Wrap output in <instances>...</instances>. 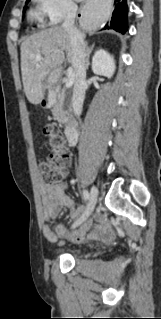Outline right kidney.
Returning <instances> with one entry per match:
<instances>
[{"label":"right kidney","instance_id":"obj_1","mask_svg":"<svg viewBox=\"0 0 161 319\" xmlns=\"http://www.w3.org/2000/svg\"><path fill=\"white\" fill-rule=\"evenodd\" d=\"M92 71L94 74L111 78L115 72V62L105 50L99 49L92 59Z\"/></svg>","mask_w":161,"mask_h":319}]
</instances>
